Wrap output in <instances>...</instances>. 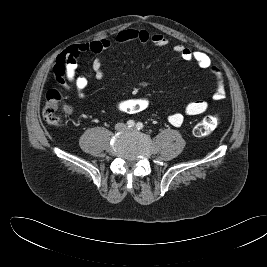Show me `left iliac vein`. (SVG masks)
I'll use <instances>...</instances> for the list:
<instances>
[{
    "instance_id": "left-iliac-vein-1",
    "label": "left iliac vein",
    "mask_w": 267,
    "mask_h": 267,
    "mask_svg": "<svg viewBox=\"0 0 267 267\" xmlns=\"http://www.w3.org/2000/svg\"><path fill=\"white\" fill-rule=\"evenodd\" d=\"M131 130H135V128H131Z\"/></svg>"
}]
</instances>
